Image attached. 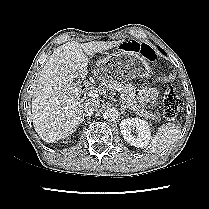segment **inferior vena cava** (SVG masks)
Segmentation results:
<instances>
[{
    "label": "inferior vena cava",
    "mask_w": 209,
    "mask_h": 209,
    "mask_svg": "<svg viewBox=\"0 0 209 209\" xmlns=\"http://www.w3.org/2000/svg\"><path fill=\"white\" fill-rule=\"evenodd\" d=\"M99 101L92 99V100H86L84 104V110L87 114H93L99 109Z\"/></svg>",
    "instance_id": "inferior-vena-cava-1"
}]
</instances>
